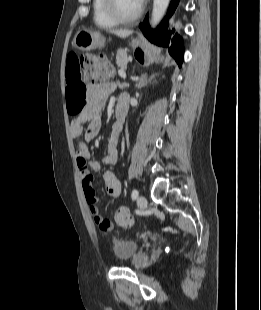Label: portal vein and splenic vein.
Here are the masks:
<instances>
[{
    "label": "portal vein and splenic vein",
    "mask_w": 261,
    "mask_h": 310,
    "mask_svg": "<svg viewBox=\"0 0 261 310\" xmlns=\"http://www.w3.org/2000/svg\"><path fill=\"white\" fill-rule=\"evenodd\" d=\"M118 74L123 78L125 79L126 78V74L123 70H118Z\"/></svg>",
    "instance_id": "portal-vein-and-splenic-vein-1"
}]
</instances>
